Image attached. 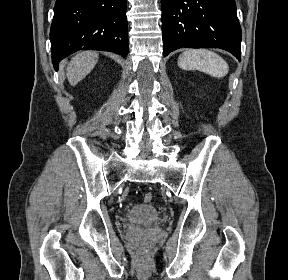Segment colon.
Instances as JSON below:
<instances>
[{
	"label": "colon",
	"instance_id": "colon-1",
	"mask_svg": "<svg viewBox=\"0 0 288 280\" xmlns=\"http://www.w3.org/2000/svg\"><path fill=\"white\" fill-rule=\"evenodd\" d=\"M143 200L145 203H151L153 200V195L152 193H146L143 197Z\"/></svg>",
	"mask_w": 288,
	"mask_h": 280
}]
</instances>
